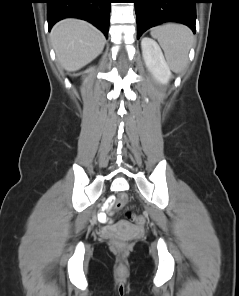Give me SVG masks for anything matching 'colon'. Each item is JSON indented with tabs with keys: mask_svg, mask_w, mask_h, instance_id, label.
<instances>
[{
	"mask_svg": "<svg viewBox=\"0 0 239 296\" xmlns=\"http://www.w3.org/2000/svg\"><path fill=\"white\" fill-rule=\"evenodd\" d=\"M127 202V196L126 195H120L115 202V206L117 208H120L122 206H124ZM127 218L128 220L135 224V225H140L143 223V218L136 213H128L127 214ZM112 246L114 249L119 250V251H123L126 249L127 246V239L120 236V235H114L112 238Z\"/></svg>",
	"mask_w": 239,
	"mask_h": 296,
	"instance_id": "colon-1",
	"label": "colon"
}]
</instances>
